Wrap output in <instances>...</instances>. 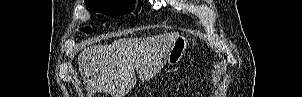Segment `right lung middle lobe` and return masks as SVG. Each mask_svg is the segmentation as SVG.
Segmentation results:
<instances>
[{
    "mask_svg": "<svg viewBox=\"0 0 302 97\" xmlns=\"http://www.w3.org/2000/svg\"><path fill=\"white\" fill-rule=\"evenodd\" d=\"M134 0H85V4L95 10L112 17H118L129 13L134 8ZM82 31L89 33L91 28H82Z\"/></svg>",
    "mask_w": 302,
    "mask_h": 97,
    "instance_id": "obj_1",
    "label": "right lung middle lobe"
}]
</instances>
